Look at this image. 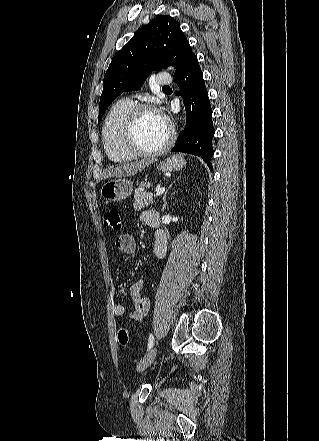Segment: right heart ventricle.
I'll return each mask as SVG.
<instances>
[{"label": "right heart ventricle", "instance_id": "obj_1", "mask_svg": "<svg viewBox=\"0 0 319 441\" xmlns=\"http://www.w3.org/2000/svg\"><path fill=\"white\" fill-rule=\"evenodd\" d=\"M133 106L131 100L121 99L111 106L106 115L102 127V139L105 152L111 161L125 162L134 157L121 143L122 125Z\"/></svg>", "mask_w": 319, "mask_h": 441}]
</instances>
